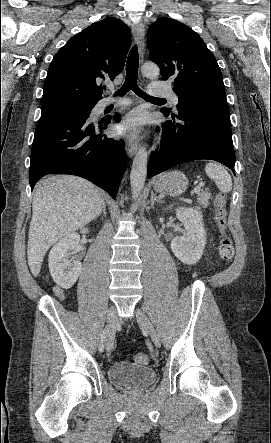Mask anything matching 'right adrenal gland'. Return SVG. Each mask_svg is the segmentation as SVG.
Segmentation results:
<instances>
[{
    "label": "right adrenal gland",
    "mask_w": 271,
    "mask_h": 443,
    "mask_svg": "<svg viewBox=\"0 0 271 443\" xmlns=\"http://www.w3.org/2000/svg\"><path fill=\"white\" fill-rule=\"evenodd\" d=\"M102 214H103L104 218H106V206H103L100 214H98V216H96V218H99V216H102ZM96 218H95V220H96Z\"/></svg>",
    "instance_id": "obj_1"
}]
</instances>
